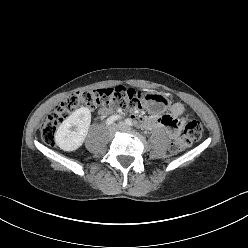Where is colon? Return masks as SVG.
Returning <instances> with one entry per match:
<instances>
[{
	"mask_svg": "<svg viewBox=\"0 0 248 248\" xmlns=\"http://www.w3.org/2000/svg\"><path fill=\"white\" fill-rule=\"evenodd\" d=\"M144 98L145 95L142 92L123 86L75 92L61 101L42 121L41 138L45 144L53 145L59 125L80 106L140 110L144 107ZM202 133L203 127L199 121H189L185 126L184 136L175 139L170 144V153L182 152L192 142L198 141Z\"/></svg>",
	"mask_w": 248,
	"mask_h": 248,
	"instance_id": "1",
	"label": "colon"
}]
</instances>
